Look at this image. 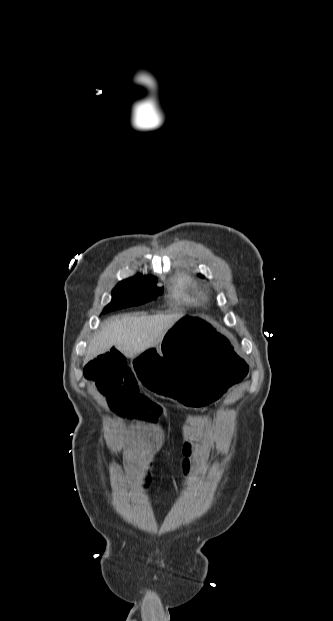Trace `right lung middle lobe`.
<instances>
[{"mask_svg":"<svg viewBox=\"0 0 333 621\" xmlns=\"http://www.w3.org/2000/svg\"><path fill=\"white\" fill-rule=\"evenodd\" d=\"M154 276L138 274L132 278L121 281L112 291V301L103 313L144 304L156 300L161 295L163 288H158Z\"/></svg>","mask_w":333,"mask_h":621,"instance_id":"dd1d6c3e","label":"right lung middle lobe"}]
</instances>
